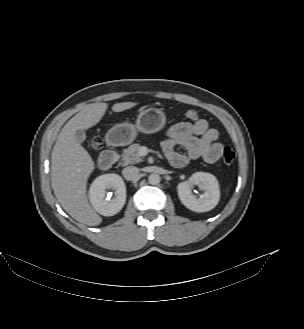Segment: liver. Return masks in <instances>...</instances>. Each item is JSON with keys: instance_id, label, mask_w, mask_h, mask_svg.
I'll return each mask as SVG.
<instances>
[{"instance_id": "1", "label": "liver", "mask_w": 304, "mask_h": 329, "mask_svg": "<svg viewBox=\"0 0 304 329\" xmlns=\"http://www.w3.org/2000/svg\"><path fill=\"white\" fill-rule=\"evenodd\" d=\"M137 102H122L112 106V111L122 112L136 106ZM107 103H93L72 117L62 128L51 157V184L63 209L76 221L97 226L101 217L87 199V180L94 170L89 153L75 138L80 129L95 126L104 116Z\"/></svg>"}]
</instances>
